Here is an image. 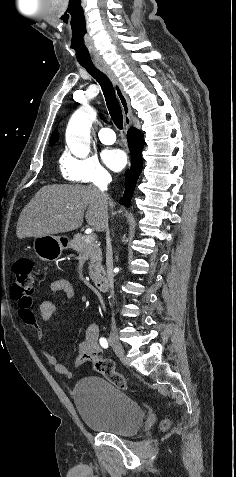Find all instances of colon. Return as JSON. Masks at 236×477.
<instances>
[{
    "instance_id": "colon-1",
    "label": "colon",
    "mask_w": 236,
    "mask_h": 477,
    "mask_svg": "<svg viewBox=\"0 0 236 477\" xmlns=\"http://www.w3.org/2000/svg\"><path fill=\"white\" fill-rule=\"evenodd\" d=\"M13 275L11 296L17 300L20 309H30L35 285L32 260L27 257L19 258L14 264ZM93 362L95 369L111 384L123 390L127 389V381L115 371L111 360L99 357Z\"/></svg>"
}]
</instances>
